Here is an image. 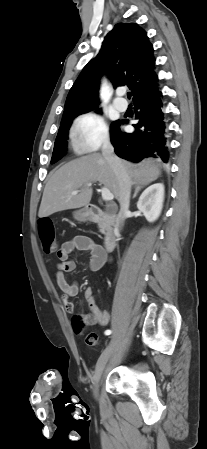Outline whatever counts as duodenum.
<instances>
[{"mask_svg":"<svg viewBox=\"0 0 207 449\" xmlns=\"http://www.w3.org/2000/svg\"><path fill=\"white\" fill-rule=\"evenodd\" d=\"M87 220L94 223H103L106 227V236L104 240V247L106 250H112L118 239L117 232L118 218L113 212H104L95 205L88 206L86 209Z\"/></svg>","mask_w":207,"mask_h":449,"instance_id":"1","label":"duodenum"}]
</instances>
